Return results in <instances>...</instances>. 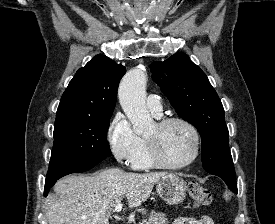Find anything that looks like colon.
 <instances>
[{
	"label": "colon",
	"instance_id": "5ec220e1",
	"mask_svg": "<svg viewBox=\"0 0 275 224\" xmlns=\"http://www.w3.org/2000/svg\"><path fill=\"white\" fill-rule=\"evenodd\" d=\"M190 199L194 206H206L211 202L210 192L198 182L192 181L188 184Z\"/></svg>",
	"mask_w": 275,
	"mask_h": 224
}]
</instances>
